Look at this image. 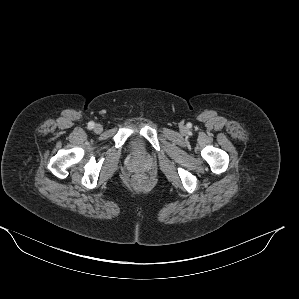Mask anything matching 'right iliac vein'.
Segmentation results:
<instances>
[{"label":"right iliac vein","mask_w":299,"mask_h":299,"mask_svg":"<svg viewBox=\"0 0 299 299\" xmlns=\"http://www.w3.org/2000/svg\"><path fill=\"white\" fill-rule=\"evenodd\" d=\"M94 131H95L96 133H100V132H102V131H103V127H102V125H100V124H96V125L94 126Z\"/></svg>","instance_id":"1"}]
</instances>
